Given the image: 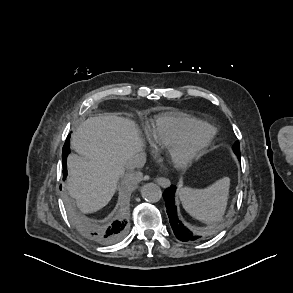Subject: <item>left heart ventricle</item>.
<instances>
[{
  "label": "left heart ventricle",
  "instance_id": "left-heart-ventricle-1",
  "mask_svg": "<svg viewBox=\"0 0 293 293\" xmlns=\"http://www.w3.org/2000/svg\"><path fill=\"white\" fill-rule=\"evenodd\" d=\"M205 134V130H200L196 133V138H200L201 136H203Z\"/></svg>",
  "mask_w": 293,
  "mask_h": 293
}]
</instances>
